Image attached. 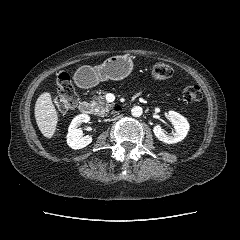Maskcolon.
<instances>
[{"label":"colon","instance_id":"5ec220e1","mask_svg":"<svg viewBox=\"0 0 240 240\" xmlns=\"http://www.w3.org/2000/svg\"><path fill=\"white\" fill-rule=\"evenodd\" d=\"M173 75L172 67L162 61L155 62L151 67V76L156 81H165ZM57 96L55 106L59 112H66L77 104V94L73 87L68 72L60 70L56 73ZM183 99L191 104L198 105L203 99V94L198 85H188L183 89Z\"/></svg>","mask_w":240,"mask_h":240}]
</instances>
